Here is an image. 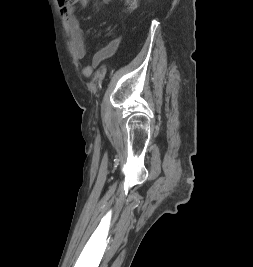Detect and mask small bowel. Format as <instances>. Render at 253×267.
Here are the masks:
<instances>
[{"mask_svg": "<svg viewBox=\"0 0 253 267\" xmlns=\"http://www.w3.org/2000/svg\"><path fill=\"white\" fill-rule=\"evenodd\" d=\"M84 5L87 0H80ZM106 3L111 0H104ZM61 14L65 20L69 30L70 41L74 55L78 59H83L86 56V46L84 42L83 31L80 27L79 21L75 16V9L73 7H61ZM120 45V38L117 37L109 41L103 48H101L93 57V63L99 64L103 60L111 57Z\"/></svg>", "mask_w": 253, "mask_h": 267, "instance_id": "small-bowel-1", "label": "small bowel"}]
</instances>
